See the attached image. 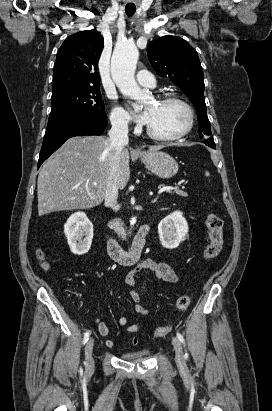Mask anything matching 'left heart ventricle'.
Instances as JSON below:
<instances>
[{"mask_svg": "<svg viewBox=\"0 0 272 411\" xmlns=\"http://www.w3.org/2000/svg\"><path fill=\"white\" fill-rule=\"evenodd\" d=\"M151 119L148 126L157 134L172 136L180 133L188 124V113L178 103L150 102Z\"/></svg>", "mask_w": 272, "mask_h": 411, "instance_id": "1", "label": "left heart ventricle"}]
</instances>
